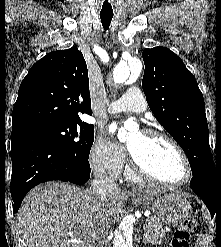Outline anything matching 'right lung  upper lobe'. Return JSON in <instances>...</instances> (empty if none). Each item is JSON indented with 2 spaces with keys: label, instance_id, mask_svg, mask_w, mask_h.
<instances>
[{
  "label": "right lung upper lobe",
  "instance_id": "1",
  "mask_svg": "<svg viewBox=\"0 0 221 247\" xmlns=\"http://www.w3.org/2000/svg\"><path fill=\"white\" fill-rule=\"evenodd\" d=\"M80 113L91 115L83 54L75 47L54 51L36 62L22 81L12 131L40 123L82 121Z\"/></svg>",
  "mask_w": 221,
  "mask_h": 247
}]
</instances>
